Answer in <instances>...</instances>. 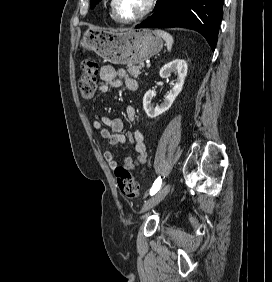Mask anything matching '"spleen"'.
Masks as SVG:
<instances>
[{"label": "spleen", "mask_w": 272, "mask_h": 282, "mask_svg": "<svg viewBox=\"0 0 272 282\" xmlns=\"http://www.w3.org/2000/svg\"><path fill=\"white\" fill-rule=\"evenodd\" d=\"M154 32L157 36L161 37L166 42L168 51H171L172 45L174 43L172 35L163 30H155Z\"/></svg>", "instance_id": "spleen-1"}]
</instances>
